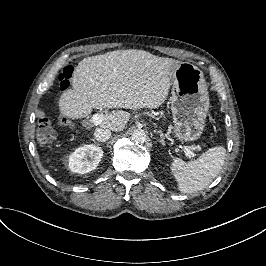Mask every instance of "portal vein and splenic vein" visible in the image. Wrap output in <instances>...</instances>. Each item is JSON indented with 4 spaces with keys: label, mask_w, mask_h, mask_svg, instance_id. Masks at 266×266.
<instances>
[{
    "label": "portal vein and splenic vein",
    "mask_w": 266,
    "mask_h": 266,
    "mask_svg": "<svg viewBox=\"0 0 266 266\" xmlns=\"http://www.w3.org/2000/svg\"><path fill=\"white\" fill-rule=\"evenodd\" d=\"M91 119H92V122L95 123V124H99V123H101V121H102L101 115H99V114H93ZM185 155H186L188 158L196 157V155L193 153V151H191V150H189V149H187V150L185 151Z\"/></svg>",
    "instance_id": "portal-vein-and-splenic-vein-1"
}]
</instances>
